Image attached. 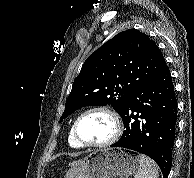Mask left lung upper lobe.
Instances as JSON below:
<instances>
[{
	"label": "left lung upper lobe",
	"mask_w": 194,
	"mask_h": 178,
	"mask_svg": "<svg viewBox=\"0 0 194 178\" xmlns=\"http://www.w3.org/2000/svg\"><path fill=\"white\" fill-rule=\"evenodd\" d=\"M166 66L159 47L144 33L120 32L93 52L74 80L60 121L88 105H106L119 112L122 103Z\"/></svg>",
	"instance_id": "5c2ea615"
}]
</instances>
